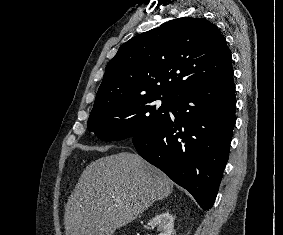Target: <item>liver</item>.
Returning a JSON list of instances; mask_svg holds the SVG:
<instances>
[{"mask_svg": "<svg viewBox=\"0 0 283 235\" xmlns=\"http://www.w3.org/2000/svg\"><path fill=\"white\" fill-rule=\"evenodd\" d=\"M172 190L173 182L138 154L102 157L85 168L67 202L66 235H113Z\"/></svg>", "mask_w": 283, "mask_h": 235, "instance_id": "1", "label": "liver"}]
</instances>
